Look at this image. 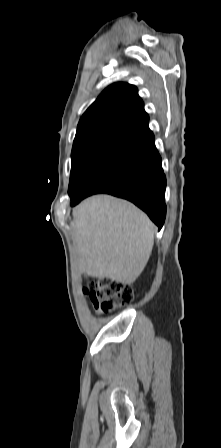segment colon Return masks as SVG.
Masks as SVG:
<instances>
[{
  "label": "colon",
  "mask_w": 221,
  "mask_h": 448,
  "mask_svg": "<svg viewBox=\"0 0 221 448\" xmlns=\"http://www.w3.org/2000/svg\"><path fill=\"white\" fill-rule=\"evenodd\" d=\"M85 293L95 306L102 312L129 304L133 300V290L127 285L110 278L91 280L85 288Z\"/></svg>",
  "instance_id": "colon-1"
}]
</instances>
